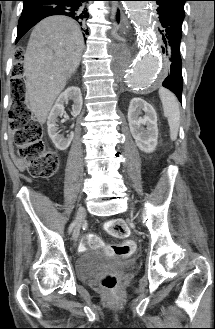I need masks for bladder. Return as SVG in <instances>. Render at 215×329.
I'll return each instance as SVG.
<instances>
[{
	"label": "bladder",
	"instance_id": "1",
	"mask_svg": "<svg viewBox=\"0 0 215 329\" xmlns=\"http://www.w3.org/2000/svg\"><path fill=\"white\" fill-rule=\"evenodd\" d=\"M135 262V259H121L99 251H86L76 259L75 269L81 280H87L103 270L126 269Z\"/></svg>",
	"mask_w": 215,
	"mask_h": 329
}]
</instances>
